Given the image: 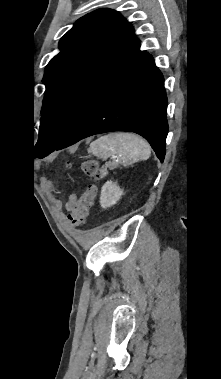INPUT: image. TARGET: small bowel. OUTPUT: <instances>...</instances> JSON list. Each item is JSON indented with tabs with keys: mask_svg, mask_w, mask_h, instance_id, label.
I'll return each instance as SVG.
<instances>
[{
	"mask_svg": "<svg viewBox=\"0 0 221 379\" xmlns=\"http://www.w3.org/2000/svg\"><path fill=\"white\" fill-rule=\"evenodd\" d=\"M76 202H77V197L75 194H72L69 197L68 201L66 202V205H65L66 210L71 211L73 209V207L75 206Z\"/></svg>",
	"mask_w": 221,
	"mask_h": 379,
	"instance_id": "c3829d8e",
	"label": "small bowel"
}]
</instances>
